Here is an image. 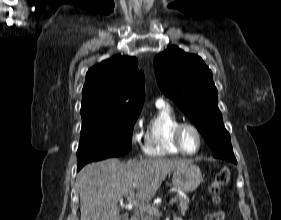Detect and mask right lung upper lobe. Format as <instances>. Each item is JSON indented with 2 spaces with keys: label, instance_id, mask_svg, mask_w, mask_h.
I'll use <instances>...</instances> for the list:
<instances>
[{
  "label": "right lung upper lobe",
  "instance_id": "1",
  "mask_svg": "<svg viewBox=\"0 0 281 220\" xmlns=\"http://www.w3.org/2000/svg\"><path fill=\"white\" fill-rule=\"evenodd\" d=\"M135 57L116 55L86 74L82 119L139 115L145 97L144 74Z\"/></svg>",
  "mask_w": 281,
  "mask_h": 220
}]
</instances>
